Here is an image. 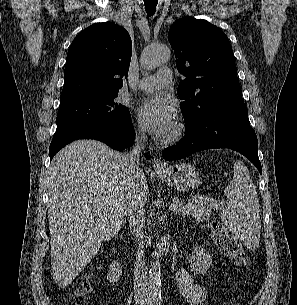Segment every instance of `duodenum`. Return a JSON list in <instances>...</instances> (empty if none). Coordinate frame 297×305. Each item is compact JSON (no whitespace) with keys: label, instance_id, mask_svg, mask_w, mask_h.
<instances>
[{"label":"duodenum","instance_id":"duodenum-1","mask_svg":"<svg viewBox=\"0 0 297 305\" xmlns=\"http://www.w3.org/2000/svg\"><path fill=\"white\" fill-rule=\"evenodd\" d=\"M170 244L168 241H164L159 246V251L157 253V258L162 259L169 252Z\"/></svg>","mask_w":297,"mask_h":305}]
</instances>
